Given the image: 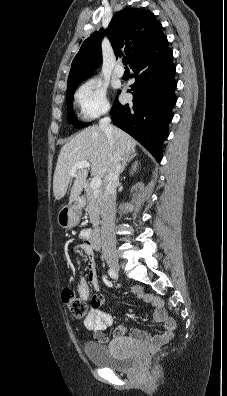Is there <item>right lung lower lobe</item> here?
<instances>
[{
	"label": "right lung lower lobe",
	"instance_id": "98d812e1",
	"mask_svg": "<svg viewBox=\"0 0 227 396\" xmlns=\"http://www.w3.org/2000/svg\"><path fill=\"white\" fill-rule=\"evenodd\" d=\"M130 67L136 78L129 90L133 101L121 105L116 97L111 118L117 127L139 141L160 162L162 144L168 136V123L173 118L172 107L176 103V67L168 41L141 53Z\"/></svg>",
	"mask_w": 227,
	"mask_h": 396
}]
</instances>
